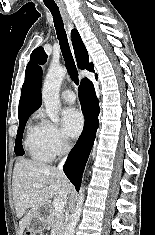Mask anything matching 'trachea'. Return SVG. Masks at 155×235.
<instances>
[{
  "label": "trachea",
  "mask_w": 155,
  "mask_h": 235,
  "mask_svg": "<svg viewBox=\"0 0 155 235\" xmlns=\"http://www.w3.org/2000/svg\"><path fill=\"white\" fill-rule=\"evenodd\" d=\"M48 9L53 16L57 38L59 40L60 48L62 51V55L65 61V65L67 67L68 73L70 75L71 80L76 85H78L79 84L78 72H77L76 65H75V62H74V59H73V56L69 47L67 35L64 30V24H63V20H62L59 8L48 7Z\"/></svg>",
  "instance_id": "1"
}]
</instances>
